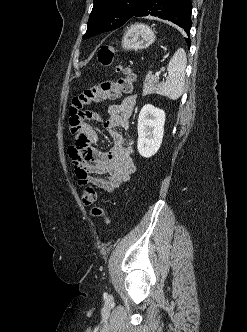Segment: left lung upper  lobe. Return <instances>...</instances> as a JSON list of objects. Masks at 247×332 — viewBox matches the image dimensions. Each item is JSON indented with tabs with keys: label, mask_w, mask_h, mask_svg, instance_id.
I'll return each instance as SVG.
<instances>
[{
	"label": "left lung upper lobe",
	"mask_w": 247,
	"mask_h": 332,
	"mask_svg": "<svg viewBox=\"0 0 247 332\" xmlns=\"http://www.w3.org/2000/svg\"><path fill=\"white\" fill-rule=\"evenodd\" d=\"M146 0H94L83 39L123 26Z\"/></svg>",
	"instance_id": "obj_1"
}]
</instances>
